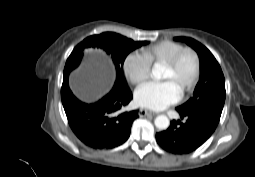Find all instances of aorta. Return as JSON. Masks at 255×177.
Listing matches in <instances>:
<instances>
[{
	"label": "aorta",
	"instance_id": "aorta-1",
	"mask_svg": "<svg viewBox=\"0 0 255 177\" xmlns=\"http://www.w3.org/2000/svg\"><path fill=\"white\" fill-rule=\"evenodd\" d=\"M152 74L155 78L161 77V69L158 65H155L152 69ZM155 126L160 130H165L169 127L170 121L167 116L159 115L155 118Z\"/></svg>",
	"mask_w": 255,
	"mask_h": 177
}]
</instances>
